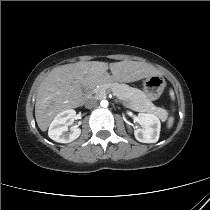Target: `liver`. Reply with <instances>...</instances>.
I'll return each mask as SVG.
<instances>
[{"mask_svg":"<svg viewBox=\"0 0 210 210\" xmlns=\"http://www.w3.org/2000/svg\"><path fill=\"white\" fill-rule=\"evenodd\" d=\"M110 69L112 75L107 70ZM147 63L124 60L106 63L77 62L53 69L41 82L35 103V117L41 131L61 112L83 103V88H93L107 82H135L158 75Z\"/></svg>","mask_w":210,"mask_h":210,"instance_id":"liver-1","label":"liver"}]
</instances>
